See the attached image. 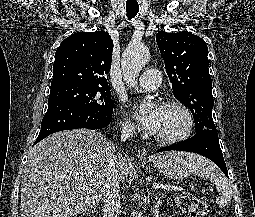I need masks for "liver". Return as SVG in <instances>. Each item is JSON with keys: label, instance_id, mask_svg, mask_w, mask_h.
<instances>
[{"label": "liver", "instance_id": "6515ba94", "mask_svg": "<svg viewBox=\"0 0 255 217\" xmlns=\"http://www.w3.org/2000/svg\"><path fill=\"white\" fill-rule=\"evenodd\" d=\"M112 145L100 132L85 128L55 133L35 145L22 177V217H71L95 208ZM117 156L122 181L128 160Z\"/></svg>", "mask_w": 255, "mask_h": 217}]
</instances>
